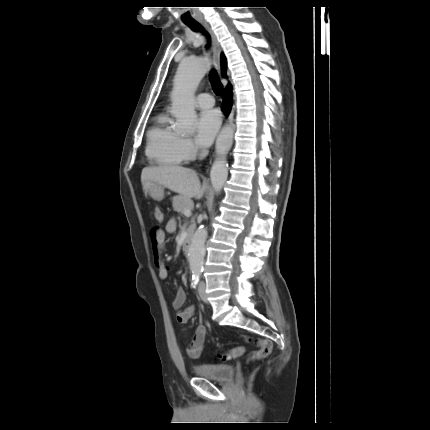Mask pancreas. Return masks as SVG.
<instances>
[{"mask_svg":"<svg viewBox=\"0 0 430 430\" xmlns=\"http://www.w3.org/2000/svg\"><path fill=\"white\" fill-rule=\"evenodd\" d=\"M172 203L174 210L181 214H184V211L186 209H192V201L190 199L185 198L184 196H174L172 198ZM192 223L194 225V218L192 219Z\"/></svg>","mask_w":430,"mask_h":430,"instance_id":"obj_1","label":"pancreas"}]
</instances>
